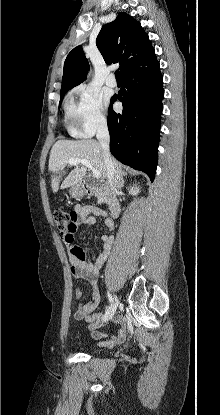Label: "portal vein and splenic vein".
I'll list each match as a JSON object with an SVG mask.
<instances>
[{
    "label": "portal vein and splenic vein",
    "mask_w": 220,
    "mask_h": 415,
    "mask_svg": "<svg viewBox=\"0 0 220 415\" xmlns=\"http://www.w3.org/2000/svg\"><path fill=\"white\" fill-rule=\"evenodd\" d=\"M79 163L83 164L88 169H90L93 172V175H94L95 178H97V179L101 178V173L99 171H97L96 169H94V167L91 165V163L88 162L87 160L78 159V158L69 159V164L70 165H77Z\"/></svg>",
    "instance_id": "portal-vein-and-splenic-vein-1"
}]
</instances>
